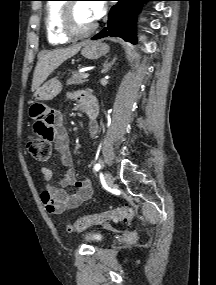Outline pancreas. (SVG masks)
<instances>
[{
    "instance_id": "pancreas-1",
    "label": "pancreas",
    "mask_w": 216,
    "mask_h": 285,
    "mask_svg": "<svg viewBox=\"0 0 216 285\" xmlns=\"http://www.w3.org/2000/svg\"><path fill=\"white\" fill-rule=\"evenodd\" d=\"M83 74L81 72H72L71 77L66 81V85H80L87 82L88 80L82 77Z\"/></svg>"
}]
</instances>
